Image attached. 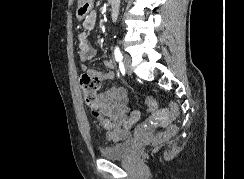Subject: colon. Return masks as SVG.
<instances>
[{"label": "colon", "instance_id": "colon-1", "mask_svg": "<svg viewBox=\"0 0 244 179\" xmlns=\"http://www.w3.org/2000/svg\"><path fill=\"white\" fill-rule=\"evenodd\" d=\"M80 89L83 95V100L87 104L89 111L92 112V115L97 118L101 125L109 130L113 128L114 123L98 111L96 106V95L100 88V79L95 75H86L83 74L79 80ZM170 110H168L167 121H174L175 115H180L181 107H176V102H169ZM144 106H147V109H158V104L156 101H152L151 98H148L147 101H144ZM134 120H140V111L136 108L131 109V115L127 118V124L130 125ZM167 133H163L161 137V142H169V138H175L178 133V125H166Z\"/></svg>", "mask_w": 244, "mask_h": 179}]
</instances>
